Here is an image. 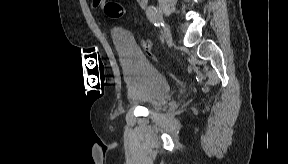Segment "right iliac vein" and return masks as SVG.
I'll use <instances>...</instances> for the list:
<instances>
[{"mask_svg": "<svg viewBox=\"0 0 288 164\" xmlns=\"http://www.w3.org/2000/svg\"><path fill=\"white\" fill-rule=\"evenodd\" d=\"M159 23L162 26V35L165 40H171V31L162 16H159Z\"/></svg>", "mask_w": 288, "mask_h": 164, "instance_id": "right-iliac-vein-1", "label": "right iliac vein"}]
</instances>
